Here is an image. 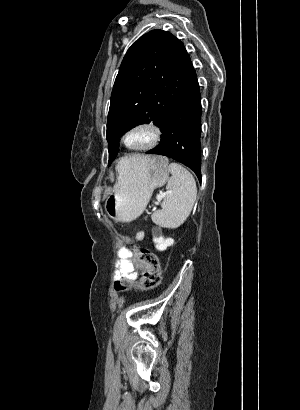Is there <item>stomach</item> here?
<instances>
[{
    "mask_svg": "<svg viewBox=\"0 0 300 410\" xmlns=\"http://www.w3.org/2000/svg\"><path fill=\"white\" fill-rule=\"evenodd\" d=\"M168 177V159L163 156H147L134 166L127 165L105 198L106 214L119 222L135 220L145 210L154 189L163 186Z\"/></svg>",
    "mask_w": 300,
    "mask_h": 410,
    "instance_id": "obj_1",
    "label": "stomach"
}]
</instances>
